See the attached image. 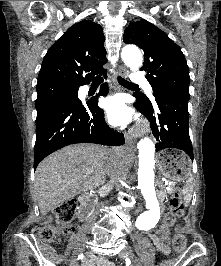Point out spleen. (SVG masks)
I'll return each instance as SVG.
<instances>
[{"mask_svg":"<svg viewBox=\"0 0 221 266\" xmlns=\"http://www.w3.org/2000/svg\"><path fill=\"white\" fill-rule=\"evenodd\" d=\"M190 181H191V179H189V181H188V185H187L186 187H184V189H183V193L186 195V196H185V201H186V203H189V201H190V199H191V197H190V193H191V191H192V187L189 185Z\"/></svg>","mask_w":221,"mask_h":266,"instance_id":"obj_1","label":"spleen"}]
</instances>
